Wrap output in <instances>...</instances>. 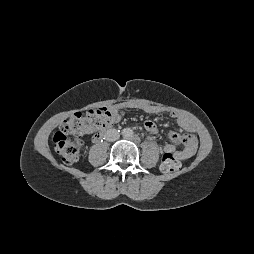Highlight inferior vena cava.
<instances>
[{
	"label": "inferior vena cava",
	"instance_id": "obj_1",
	"mask_svg": "<svg viewBox=\"0 0 254 254\" xmlns=\"http://www.w3.org/2000/svg\"><path fill=\"white\" fill-rule=\"evenodd\" d=\"M105 139L109 142H113L119 139L120 134L116 129H109L105 132Z\"/></svg>",
	"mask_w": 254,
	"mask_h": 254
}]
</instances>
